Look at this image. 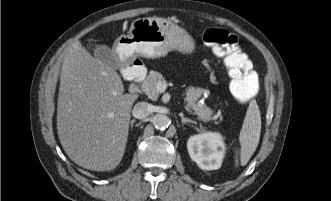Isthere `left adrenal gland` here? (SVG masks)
Wrapping results in <instances>:
<instances>
[{"label": "left adrenal gland", "mask_w": 331, "mask_h": 201, "mask_svg": "<svg viewBox=\"0 0 331 201\" xmlns=\"http://www.w3.org/2000/svg\"><path fill=\"white\" fill-rule=\"evenodd\" d=\"M181 122H182L183 125L186 124V123L197 124L195 121H193V120H191V119H189V118H186V117H184V116H181Z\"/></svg>", "instance_id": "obj_1"}]
</instances>
